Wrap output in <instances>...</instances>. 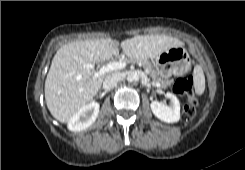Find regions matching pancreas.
Segmentation results:
<instances>
[{
	"mask_svg": "<svg viewBox=\"0 0 245 170\" xmlns=\"http://www.w3.org/2000/svg\"><path fill=\"white\" fill-rule=\"evenodd\" d=\"M129 62L142 66L153 82L160 83L162 88H167L172 85L173 81L162 78L155 66L147 58L133 57L129 58Z\"/></svg>",
	"mask_w": 245,
	"mask_h": 170,
	"instance_id": "pancreas-1",
	"label": "pancreas"
}]
</instances>
